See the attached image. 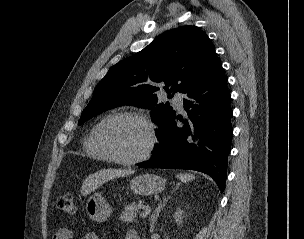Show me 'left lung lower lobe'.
<instances>
[{
    "mask_svg": "<svg viewBox=\"0 0 304 239\" xmlns=\"http://www.w3.org/2000/svg\"><path fill=\"white\" fill-rule=\"evenodd\" d=\"M230 98L226 77L215 54L186 92L183 102L188 118L176 117L175 113L159 131V145L152 157L138 165L201 171L210 175L223 191L233 133ZM176 120L183 122V126H177Z\"/></svg>",
    "mask_w": 304,
    "mask_h": 239,
    "instance_id": "obj_1",
    "label": "left lung lower lobe"
}]
</instances>
